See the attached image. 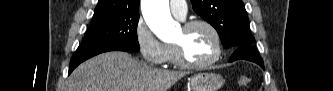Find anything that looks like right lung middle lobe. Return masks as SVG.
<instances>
[{
    "label": "right lung middle lobe",
    "mask_w": 333,
    "mask_h": 91,
    "mask_svg": "<svg viewBox=\"0 0 333 91\" xmlns=\"http://www.w3.org/2000/svg\"><path fill=\"white\" fill-rule=\"evenodd\" d=\"M139 13H124L92 18L81 46L119 45L139 51L137 24Z\"/></svg>",
    "instance_id": "right-lung-middle-lobe-1"
}]
</instances>
